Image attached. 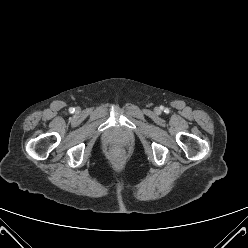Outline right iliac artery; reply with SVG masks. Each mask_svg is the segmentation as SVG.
Here are the masks:
<instances>
[{"mask_svg":"<svg viewBox=\"0 0 248 248\" xmlns=\"http://www.w3.org/2000/svg\"><path fill=\"white\" fill-rule=\"evenodd\" d=\"M70 112L73 113L74 112V108H70Z\"/></svg>","mask_w":248,"mask_h":248,"instance_id":"1","label":"right iliac artery"}]
</instances>
